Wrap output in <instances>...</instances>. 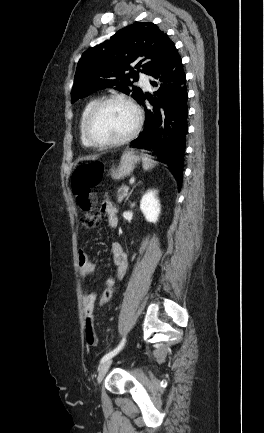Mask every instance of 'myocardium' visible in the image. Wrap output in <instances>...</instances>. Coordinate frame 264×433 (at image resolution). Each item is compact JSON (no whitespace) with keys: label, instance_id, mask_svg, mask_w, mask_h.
<instances>
[{"label":"myocardium","instance_id":"f54148a6","mask_svg":"<svg viewBox=\"0 0 264 433\" xmlns=\"http://www.w3.org/2000/svg\"><path fill=\"white\" fill-rule=\"evenodd\" d=\"M110 103H122L127 105L135 115V122L132 129L123 137L116 140L98 141L92 137L89 131L90 123L95 114L105 105ZM143 123V115L138 105L128 97L113 95L102 98L95 102V104L87 112L83 122V135L87 143L93 147H116L123 145L132 140L140 131Z\"/></svg>","mask_w":264,"mask_h":433}]
</instances>
